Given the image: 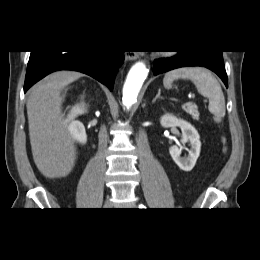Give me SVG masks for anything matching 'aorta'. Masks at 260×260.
Listing matches in <instances>:
<instances>
[{
  "instance_id": "1",
  "label": "aorta",
  "mask_w": 260,
  "mask_h": 260,
  "mask_svg": "<svg viewBox=\"0 0 260 260\" xmlns=\"http://www.w3.org/2000/svg\"><path fill=\"white\" fill-rule=\"evenodd\" d=\"M148 72L144 62L139 61L131 67L123 86L122 102L127 110L137 101V96Z\"/></svg>"
}]
</instances>
